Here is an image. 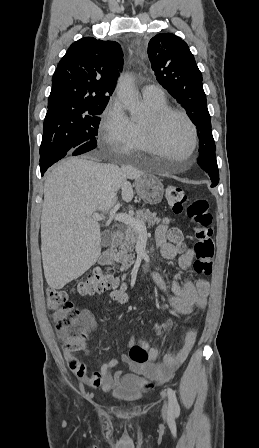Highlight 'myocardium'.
Returning <instances> with one entry per match:
<instances>
[{
  "instance_id": "1",
  "label": "myocardium",
  "mask_w": 259,
  "mask_h": 448,
  "mask_svg": "<svg viewBox=\"0 0 259 448\" xmlns=\"http://www.w3.org/2000/svg\"><path fill=\"white\" fill-rule=\"evenodd\" d=\"M171 117L181 118L189 127L191 132L189 160L195 162L197 156L196 148L198 144L197 128L185 111L172 107H166L158 111H151L148 119L143 122L144 136L148 145V150H145L144 153L151 154L155 150L164 149L160 139V131L163 123ZM149 171H159V169H152Z\"/></svg>"
}]
</instances>
